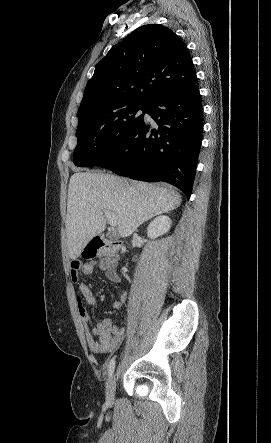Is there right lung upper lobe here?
<instances>
[{
    "label": "right lung upper lobe",
    "instance_id": "right-lung-upper-lobe-1",
    "mask_svg": "<svg viewBox=\"0 0 271 443\" xmlns=\"http://www.w3.org/2000/svg\"><path fill=\"white\" fill-rule=\"evenodd\" d=\"M197 79L189 51L169 28L139 27L113 46L88 81L78 118L99 117L125 103H149L157 95Z\"/></svg>",
    "mask_w": 271,
    "mask_h": 443
}]
</instances>
